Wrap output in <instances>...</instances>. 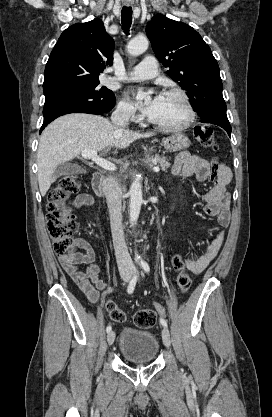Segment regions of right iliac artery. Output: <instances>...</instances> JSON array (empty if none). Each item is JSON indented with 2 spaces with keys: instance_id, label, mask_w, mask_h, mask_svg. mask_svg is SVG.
I'll list each match as a JSON object with an SVG mask.
<instances>
[{
  "instance_id": "obj_1",
  "label": "right iliac artery",
  "mask_w": 272,
  "mask_h": 417,
  "mask_svg": "<svg viewBox=\"0 0 272 417\" xmlns=\"http://www.w3.org/2000/svg\"><path fill=\"white\" fill-rule=\"evenodd\" d=\"M137 278H138V275L137 274H134V276L132 277V279H131V281H130V283H129V285H128V289H127V292L129 293V294H132L133 293V291H134V289H135V285H136V282H137ZM111 326L109 325V326H107V328H106V331H107V333H109L110 331H111Z\"/></svg>"
}]
</instances>
